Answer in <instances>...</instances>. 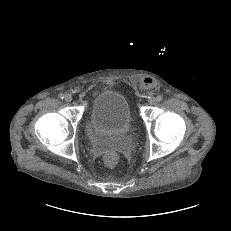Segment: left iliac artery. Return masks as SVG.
I'll return each instance as SVG.
<instances>
[{"mask_svg":"<svg viewBox=\"0 0 231 231\" xmlns=\"http://www.w3.org/2000/svg\"><path fill=\"white\" fill-rule=\"evenodd\" d=\"M162 99H163V98H162V96H160V95L156 97L157 102H161Z\"/></svg>","mask_w":231,"mask_h":231,"instance_id":"44dca946","label":"left iliac artery"}]
</instances>
